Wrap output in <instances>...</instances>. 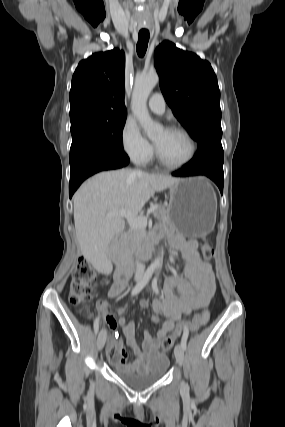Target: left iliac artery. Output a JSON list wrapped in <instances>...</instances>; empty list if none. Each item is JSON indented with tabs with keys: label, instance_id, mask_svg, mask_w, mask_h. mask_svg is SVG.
Here are the masks:
<instances>
[{
	"label": "left iliac artery",
	"instance_id": "left-iliac-artery-1",
	"mask_svg": "<svg viewBox=\"0 0 285 427\" xmlns=\"http://www.w3.org/2000/svg\"><path fill=\"white\" fill-rule=\"evenodd\" d=\"M152 288L155 291V293H157V294L159 293L158 286H157V278L156 277L152 281ZM187 338H188V334L184 333L183 336H182V339H181V346H182L183 350H186Z\"/></svg>",
	"mask_w": 285,
	"mask_h": 427
}]
</instances>
